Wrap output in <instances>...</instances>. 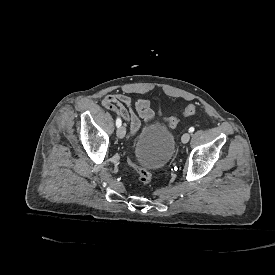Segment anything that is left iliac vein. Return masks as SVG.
<instances>
[{
    "label": "left iliac vein",
    "mask_w": 275,
    "mask_h": 275,
    "mask_svg": "<svg viewBox=\"0 0 275 275\" xmlns=\"http://www.w3.org/2000/svg\"><path fill=\"white\" fill-rule=\"evenodd\" d=\"M190 133H184L183 136L181 137L182 143H187L190 140Z\"/></svg>",
    "instance_id": "4c4485c4"
}]
</instances>
